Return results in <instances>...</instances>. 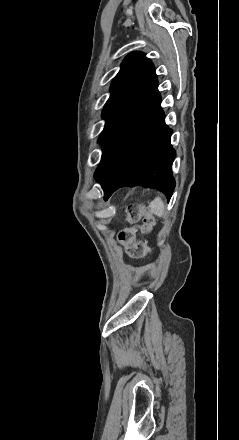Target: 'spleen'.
Listing matches in <instances>:
<instances>
[{
	"label": "spleen",
	"mask_w": 239,
	"mask_h": 440,
	"mask_svg": "<svg viewBox=\"0 0 239 440\" xmlns=\"http://www.w3.org/2000/svg\"><path fill=\"white\" fill-rule=\"evenodd\" d=\"M151 212L155 214V216H159V218H162L165 214V206L164 202H162L161 198H155L153 202L150 204Z\"/></svg>",
	"instance_id": "obj_1"
}]
</instances>
